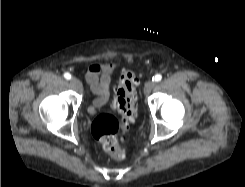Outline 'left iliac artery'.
Masks as SVG:
<instances>
[{"label": "left iliac artery", "instance_id": "left-iliac-artery-1", "mask_svg": "<svg viewBox=\"0 0 245 187\" xmlns=\"http://www.w3.org/2000/svg\"><path fill=\"white\" fill-rule=\"evenodd\" d=\"M162 79V76L160 74H157L155 75L153 78H152V81H155V82H158Z\"/></svg>", "mask_w": 245, "mask_h": 187}]
</instances>
